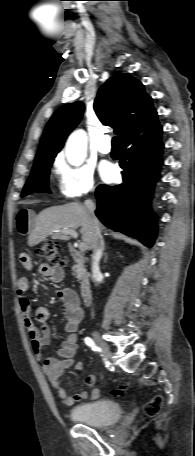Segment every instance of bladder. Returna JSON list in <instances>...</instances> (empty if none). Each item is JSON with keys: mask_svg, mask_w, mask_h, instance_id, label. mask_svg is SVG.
I'll return each instance as SVG.
<instances>
[{"mask_svg": "<svg viewBox=\"0 0 195 456\" xmlns=\"http://www.w3.org/2000/svg\"><path fill=\"white\" fill-rule=\"evenodd\" d=\"M122 413V407L118 402L101 399L77 405L69 415L73 421L91 427H105L118 422Z\"/></svg>", "mask_w": 195, "mask_h": 456, "instance_id": "1", "label": "bladder"}]
</instances>
